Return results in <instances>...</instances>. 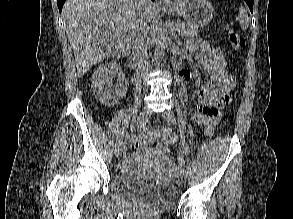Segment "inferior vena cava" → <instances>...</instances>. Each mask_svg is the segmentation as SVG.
I'll use <instances>...</instances> for the list:
<instances>
[{
  "mask_svg": "<svg viewBox=\"0 0 293 219\" xmlns=\"http://www.w3.org/2000/svg\"><path fill=\"white\" fill-rule=\"evenodd\" d=\"M139 12L135 20L134 41H133V60L135 65L136 77L148 72V30L140 11L141 7L148 6L149 0H136Z\"/></svg>",
  "mask_w": 293,
  "mask_h": 219,
  "instance_id": "602c4592",
  "label": "inferior vena cava"
}]
</instances>
